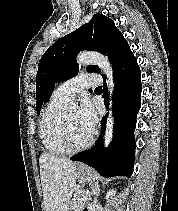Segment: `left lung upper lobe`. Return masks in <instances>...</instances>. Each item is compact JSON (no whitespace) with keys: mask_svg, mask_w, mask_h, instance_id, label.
Returning a JSON list of instances; mask_svg holds the SVG:
<instances>
[{"mask_svg":"<svg viewBox=\"0 0 178 211\" xmlns=\"http://www.w3.org/2000/svg\"><path fill=\"white\" fill-rule=\"evenodd\" d=\"M98 51L107 55L113 68L130 50L114 22L102 14H95L88 24L58 39L41 57L36 75V111L39 115L46 93L77 75L75 58L80 50ZM88 72L100 73L97 66H88ZM104 76V75H102Z\"/></svg>","mask_w":178,"mask_h":211,"instance_id":"1","label":"left lung upper lobe"}]
</instances>
